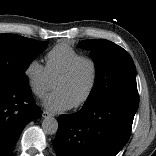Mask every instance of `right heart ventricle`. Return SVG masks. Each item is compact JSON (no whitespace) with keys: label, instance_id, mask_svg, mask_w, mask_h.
Instances as JSON below:
<instances>
[{"label":"right heart ventricle","instance_id":"1","mask_svg":"<svg viewBox=\"0 0 156 156\" xmlns=\"http://www.w3.org/2000/svg\"><path fill=\"white\" fill-rule=\"evenodd\" d=\"M83 55L65 42L58 43L46 54V70L51 81Z\"/></svg>","mask_w":156,"mask_h":156}]
</instances>
